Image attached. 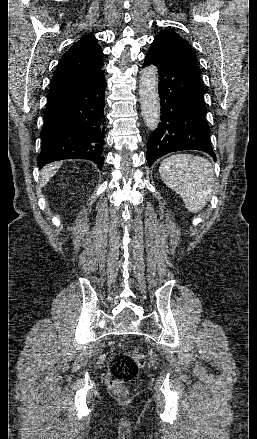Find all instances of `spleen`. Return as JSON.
Instances as JSON below:
<instances>
[{
  "label": "spleen",
  "instance_id": "3e777b00",
  "mask_svg": "<svg viewBox=\"0 0 257 439\" xmlns=\"http://www.w3.org/2000/svg\"><path fill=\"white\" fill-rule=\"evenodd\" d=\"M162 181L183 200L192 213L202 210L215 182L210 162L191 154H177L164 159L159 167Z\"/></svg>",
  "mask_w": 257,
  "mask_h": 439
}]
</instances>
